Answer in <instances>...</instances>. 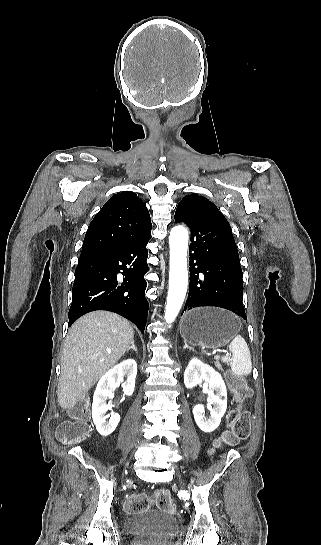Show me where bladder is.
<instances>
[{
  "instance_id": "1",
  "label": "bladder",
  "mask_w": 321,
  "mask_h": 545,
  "mask_svg": "<svg viewBox=\"0 0 321 545\" xmlns=\"http://www.w3.org/2000/svg\"><path fill=\"white\" fill-rule=\"evenodd\" d=\"M174 516L157 509L133 512L125 519V530L132 540L166 537L177 529Z\"/></svg>"
}]
</instances>
